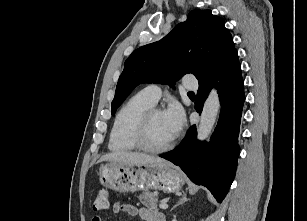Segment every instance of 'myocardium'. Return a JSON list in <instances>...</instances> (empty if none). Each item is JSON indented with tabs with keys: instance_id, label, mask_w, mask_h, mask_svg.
<instances>
[{
	"instance_id": "obj_1",
	"label": "myocardium",
	"mask_w": 307,
	"mask_h": 221,
	"mask_svg": "<svg viewBox=\"0 0 307 221\" xmlns=\"http://www.w3.org/2000/svg\"><path fill=\"white\" fill-rule=\"evenodd\" d=\"M158 112H163V110L154 106L145 110L139 117L133 131V141L136 147L148 153L165 152L169 150L174 145L175 142V137H173L169 142L158 147L152 146L148 143L147 135H148L149 125L152 117Z\"/></svg>"
}]
</instances>
